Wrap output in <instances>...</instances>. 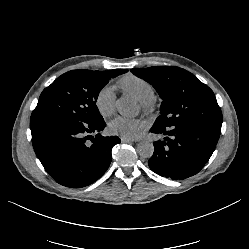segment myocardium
I'll return each mask as SVG.
<instances>
[{
  "label": "myocardium",
  "instance_id": "1",
  "mask_svg": "<svg viewBox=\"0 0 249 249\" xmlns=\"http://www.w3.org/2000/svg\"><path fill=\"white\" fill-rule=\"evenodd\" d=\"M141 105L144 111L148 114H153L156 110V104L152 98L147 101H141Z\"/></svg>",
  "mask_w": 249,
  "mask_h": 249
}]
</instances>
